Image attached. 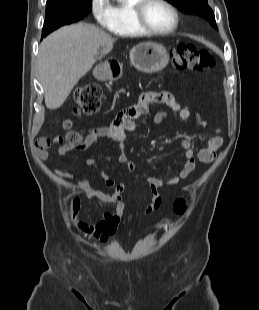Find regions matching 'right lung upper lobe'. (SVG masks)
Wrapping results in <instances>:
<instances>
[{
	"instance_id": "right-lung-upper-lobe-1",
	"label": "right lung upper lobe",
	"mask_w": 259,
	"mask_h": 310,
	"mask_svg": "<svg viewBox=\"0 0 259 310\" xmlns=\"http://www.w3.org/2000/svg\"><path fill=\"white\" fill-rule=\"evenodd\" d=\"M83 1H89V0H47L46 5H54L68 2H83Z\"/></svg>"
}]
</instances>
